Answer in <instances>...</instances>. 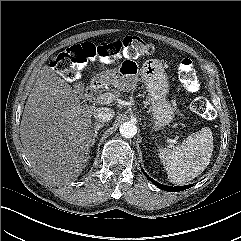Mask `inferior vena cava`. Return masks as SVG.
Listing matches in <instances>:
<instances>
[{"instance_id":"obj_1","label":"inferior vena cava","mask_w":241,"mask_h":241,"mask_svg":"<svg viewBox=\"0 0 241 241\" xmlns=\"http://www.w3.org/2000/svg\"><path fill=\"white\" fill-rule=\"evenodd\" d=\"M115 115V112L111 108L99 107L93 112L94 118L99 122H109Z\"/></svg>"}]
</instances>
